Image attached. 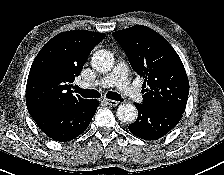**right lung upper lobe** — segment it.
Segmentation results:
<instances>
[{
    "mask_svg": "<svg viewBox=\"0 0 224 175\" xmlns=\"http://www.w3.org/2000/svg\"><path fill=\"white\" fill-rule=\"evenodd\" d=\"M105 36L72 30L56 35L43 46L31 66L26 85V105L31 116L57 105L86 100L73 95L72 83L90 52Z\"/></svg>",
    "mask_w": 224,
    "mask_h": 175,
    "instance_id": "1",
    "label": "right lung upper lobe"
}]
</instances>
